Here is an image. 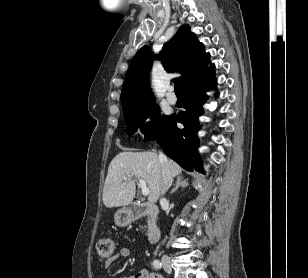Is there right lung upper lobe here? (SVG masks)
Returning a JSON list of instances; mask_svg holds the SVG:
<instances>
[{
  "label": "right lung upper lobe",
  "mask_w": 308,
  "mask_h": 278,
  "mask_svg": "<svg viewBox=\"0 0 308 278\" xmlns=\"http://www.w3.org/2000/svg\"><path fill=\"white\" fill-rule=\"evenodd\" d=\"M159 59L167 72H181L184 91L202 78L214 73V65L207 67L209 54L191 32L188 25L179 28L177 34L164 44ZM153 54L147 46L142 47L133 57L122 87L123 112L155 103L149 87V71Z\"/></svg>",
  "instance_id": "obj_1"
}]
</instances>
